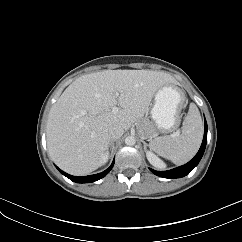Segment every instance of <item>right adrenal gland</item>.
I'll return each mask as SVG.
<instances>
[{
    "mask_svg": "<svg viewBox=\"0 0 242 242\" xmlns=\"http://www.w3.org/2000/svg\"><path fill=\"white\" fill-rule=\"evenodd\" d=\"M114 142H115V140H112V141L110 142V144H109L110 149H112V150H113V148H114Z\"/></svg>",
    "mask_w": 242,
    "mask_h": 242,
    "instance_id": "right-adrenal-gland-1",
    "label": "right adrenal gland"
}]
</instances>
